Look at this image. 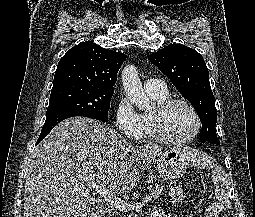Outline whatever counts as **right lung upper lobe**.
<instances>
[{"label":"right lung upper lobe","mask_w":255,"mask_h":217,"mask_svg":"<svg viewBox=\"0 0 255 217\" xmlns=\"http://www.w3.org/2000/svg\"><path fill=\"white\" fill-rule=\"evenodd\" d=\"M126 59L123 53L102 48L93 42H82L60 59L53 88L81 85L101 90H114L117 72Z\"/></svg>","instance_id":"cb5924a9"}]
</instances>
